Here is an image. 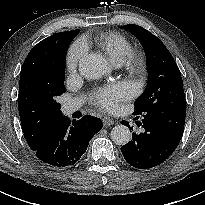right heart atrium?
<instances>
[{
	"label": "right heart atrium",
	"mask_w": 205,
	"mask_h": 205,
	"mask_svg": "<svg viewBox=\"0 0 205 205\" xmlns=\"http://www.w3.org/2000/svg\"><path fill=\"white\" fill-rule=\"evenodd\" d=\"M85 50L86 48L81 41H76L70 46L66 56V66L70 72L76 70Z\"/></svg>",
	"instance_id": "right-heart-atrium-1"
}]
</instances>
